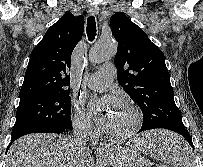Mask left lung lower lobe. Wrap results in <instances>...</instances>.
Listing matches in <instances>:
<instances>
[{
	"label": "left lung lower lobe",
	"instance_id": "1",
	"mask_svg": "<svg viewBox=\"0 0 203 167\" xmlns=\"http://www.w3.org/2000/svg\"><path fill=\"white\" fill-rule=\"evenodd\" d=\"M169 130H172V131L182 135L188 141V143L191 145V147L194 149L191 136H190L189 132L185 128H170ZM142 131H146V130L141 128L139 130V132H142Z\"/></svg>",
	"mask_w": 203,
	"mask_h": 167
}]
</instances>
